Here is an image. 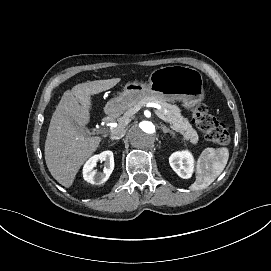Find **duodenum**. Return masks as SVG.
I'll list each match as a JSON object with an SVG mask.
<instances>
[{
	"label": "duodenum",
	"instance_id": "410a0bca",
	"mask_svg": "<svg viewBox=\"0 0 271 271\" xmlns=\"http://www.w3.org/2000/svg\"><path fill=\"white\" fill-rule=\"evenodd\" d=\"M114 118V112L113 111H109L108 113V119L112 120Z\"/></svg>",
	"mask_w": 271,
	"mask_h": 271
}]
</instances>
